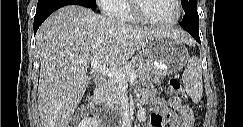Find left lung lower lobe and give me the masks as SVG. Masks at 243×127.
Segmentation results:
<instances>
[{
	"mask_svg": "<svg viewBox=\"0 0 243 127\" xmlns=\"http://www.w3.org/2000/svg\"><path fill=\"white\" fill-rule=\"evenodd\" d=\"M180 25L183 29H185L187 32H189L198 43L201 44L200 37H199L198 12L185 13Z\"/></svg>",
	"mask_w": 243,
	"mask_h": 127,
	"instance_id": "obj_1",
	"label": "left lung lower lobe"
}]
</instances>
